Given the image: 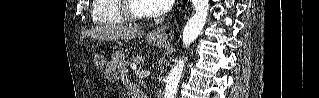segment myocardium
Listing matches in <instances>:
<instances>
[{
	"instance_id": "1",
	"label": "myocardium",
	"mask_w": 319,
	"mask_h": 98,
	"mask_svg": "<svg viewBox=\"0 0 319 98\" xmlns=\"http://www.w3.org/2000/svg\"><path fill=\"white\" fill-rule=\"evenodd\" d=\"M117 8L121 16L126 22L138 23L149 18L148 14H135L130 9L129 0H117Z\"/></svg>"
}]
</instances>
